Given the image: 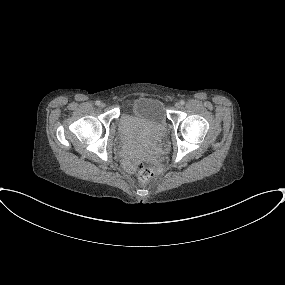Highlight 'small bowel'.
<instances>
[{"instance_id":"small-bowel-1","label":"small bowel","mask_w":285,"mask_h":285,"mask_svg":"<svg viewBox=\"0 0 285 285\" xmlns=\"http://www.w3.org/2000/svg\"><path fill=\"white\" fill-rule=\"evenodd\" d=\"M129 169H132V165L130 163L127 164Z\"/></svg>"}]
</instances>
